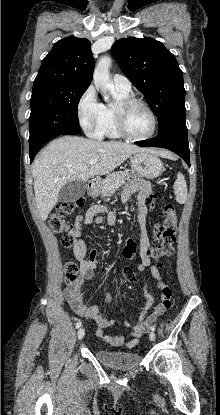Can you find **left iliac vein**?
<instances>
[{"mask_svg":"<svg viewBox=\"0 0 220 415\" xmlns=\"http://www.w3.org/2000/svg\"><path fill=\"white\" fill-rule=\"evenodd\" d=\"M149 338H150L151 341H154L155 340V333L153 331L150 332Z\"/></svg>","mask_w":220,"mask_h":415,"instance_id":"4c4485c4","label":"left iliac vein"}]
</instances>
